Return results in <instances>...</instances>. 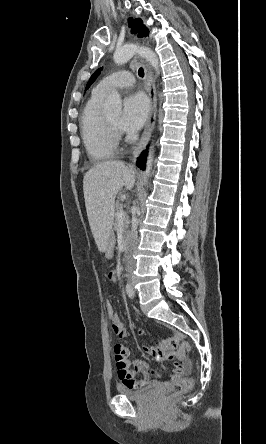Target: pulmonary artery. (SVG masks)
Segmentation results:
<instances>
[{"label":"pulmonary artery","mask_w":266,"mask_h":444,"mask_svg":"<svg viewBox=\"0 0 266 444\" xmlns=\"http://www.w3.org/2000/svg\"><path fill=\"white\" fill-rule=\"evenodd\" d=\"M134 83L133 75L128 71H117L103 78L95 87L94 92L106 95L113 89L130 87Z\"/></svg>","instance_id":"e3ab8cb5"}]
</instances>
